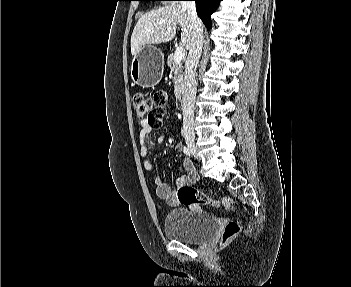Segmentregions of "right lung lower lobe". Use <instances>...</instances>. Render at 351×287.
<instances>
[{"instance_id": "right-lung-lower-lobe-1", "label": "right lung lower lobe", "mask_w": 351, "mask_h": 287, "mask_svg": "<svg viewBox=\"0 0 351 287\" xmlns=\"http://www.w3.org/2000/svg\"><path fill=\"white\" fill-rule=\"evenodd\" d=\"M198 16L202 19L207 29L211 26V14L216 10L221 0H194Z\"/></svg>"}]
</instances>
